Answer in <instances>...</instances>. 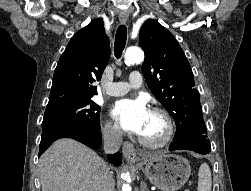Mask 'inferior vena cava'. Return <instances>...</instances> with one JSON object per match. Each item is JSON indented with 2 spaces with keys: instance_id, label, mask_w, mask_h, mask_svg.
<instances>
[{
  "instance_id": "obj_1",
  "label": "inferior vena cava",
  "mask_w": 251,
  "mask_h": 191,
  "mask_svg": "<svg viewBox=\"0 0 251 191\" xmlns=\"http://www.w3.org/2000/svg\"><path fill=\"white\" fill-rule=\"evenodd\" d=\"M122 129L120 125H112V127H105L103 131V139H104V151L105 153H115L118 151L122 145ZM103 181L105 185H103V189L101 191H113L111 187L114 185V179L112 175H103ZM110 185V187H109Z\"/></svg>"
}]
</instances>
